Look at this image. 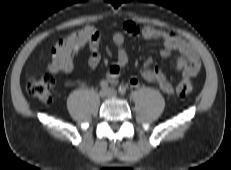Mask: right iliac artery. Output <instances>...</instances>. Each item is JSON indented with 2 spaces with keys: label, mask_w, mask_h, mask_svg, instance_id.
<instances>
[{
  "label": "right iliac artery",
  "mask_w": 231,
  "mask_h": 170,
  "mask_svg": "<svg viewBox=\"0 0 231 170\" xmlns=\"http://www.w3.org/2000/svg\"><path fill=\"white\" fill-rule=\"evenodd\" d=\"M100 86L103 89H107L108 88V82L103 80V81L100 82Z\"/></svg>",
  "instance_id": "obj_1"
}]
</instances>
